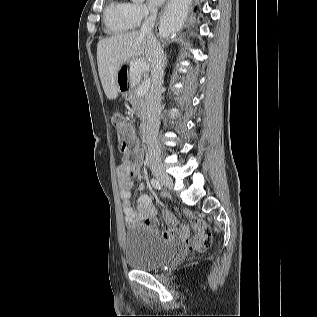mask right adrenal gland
Here are the masks:
<instances>
[{
    "instance_id": "right-adrenal-gland-1",
    "label": "right adrenal gland",
    "mask_w": 317,
    "mask_h": 317,
    "mask_svg": "<svg viewBox=\"0 0 317 317\" xmlns=\"http://www.w3.org/2000/svg\"><path fill=\"white\" fill-rule=\"evenodd\" d=\"M165 60H166V63H165V64L167 65V59H166V56H165Z\"/></svg>"
}]
</instances>
